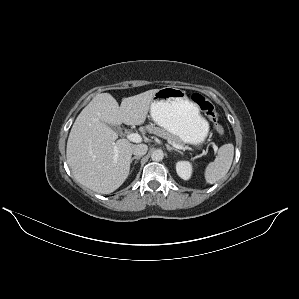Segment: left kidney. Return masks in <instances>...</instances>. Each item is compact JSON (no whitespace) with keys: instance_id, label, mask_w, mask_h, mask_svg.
I'll use <instances>...</instances> for the list:
<instances>
[{"instance_id":"1","label":"left kidney","mask_w":299,"mask_h":299,"mask_svg":"<svg viewBox=\"0 0 299 299\" xmlns=\"http://www.w3.org/2000/svg\"><path fill=\"white\" fill-rule=\"evenodd\" d=\"M176 172L184 180H188L192 174V166L187 161H179L176 163Z\"/></svg>"}]
</instances>
